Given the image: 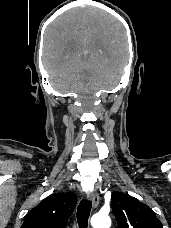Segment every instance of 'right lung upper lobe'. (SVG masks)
<instances>
[{
    "label": "right lung upper lobe",
    "mask_w": 171,
    "mask_h": 228,
    "mask_svg": "<svg viewBox=\"0 0 171 228\" xmlns=\"http://www.w3.org/2000/svg\"><path fill=\"white\" fill-rule=\"evenodd\" d=\"M76 202L71 192L52 194L27 214L21 228H65Z\"/></svg>",
    "instance_id": "cb5924a9"
}]
</instances>
